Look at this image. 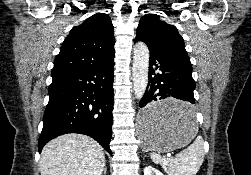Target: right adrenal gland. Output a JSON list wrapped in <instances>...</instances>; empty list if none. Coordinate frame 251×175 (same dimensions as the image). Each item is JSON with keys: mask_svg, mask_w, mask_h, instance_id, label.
<instances>
[{"mask_svg": "<svg viewBox=\"0 0 251 175\" xmlns=\"http://www.w3.org/2000/svg\"><path fill=\"white\" fill-rule=\"evenodd\" d=\"M102 171H103L104 175H106V173H107L106 163H105V165H104V167H103Z\"/></svg>", "mask_w": 251, "mask_h": 175, "instance_id": "right-adrenal-gland-1", "label": "right adrenal gland"}]
</instances>
